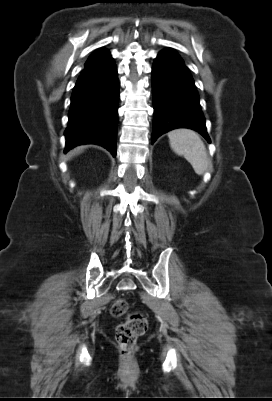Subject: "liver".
I'll return each instance as SVG.
<instances>
[{
  "label": "liver",
  "mask_w": 272,
  "mask_h": 401,
  "mask_svg": "<svg viewBox=\"0 0 272 401\" xmlns=\"http://www.w3.org/2000/svg\"><path fill=\"white\" fill-rule=\"evenodd\" d=\"M82 148H83V147L77 148V150H74L73 152L70 153V156H72V155H74V154H76V153H79V152L82 150Z\"/></svg>",
  "instance_id": "obj_1"
}]
</instances>
